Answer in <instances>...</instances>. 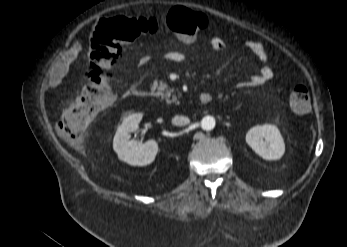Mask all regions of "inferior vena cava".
I'll use <instances>...</instances> for the list:
<instances>
[{
  "label": "inferior vena cava",
  "instance_id": "602c4592",
  "mask_svg": "<svg viewBox=\"0 0 347 247\" xmlns=\"http://www.w3.org/2000/svg\"><path fill=\"white\" fill-rule=\"evenodd\" d=\"M190 123V119L185 116L176 115L172 118V124L175 126H184Z\"/></svg>",
  "mask_w": 347,
  "mask_h": 247
}]
</instances>
